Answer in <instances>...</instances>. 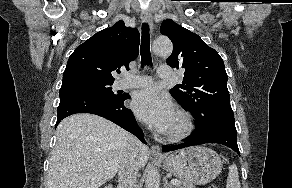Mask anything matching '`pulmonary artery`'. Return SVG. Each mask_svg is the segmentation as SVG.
Wrapping results in <instances>:
<instances>
[{
  "mask_svg": "<svg viewBox=\"0 0 292 188\" xmlns=\"http://www.w3.org/2000/svg\"><path fill=\"white\" fill-rule=\"evenodd\" d=\"M158 77L170 79L173 77L172 69L168 66H160L157 71ZM153 82L152 77L146 75L126 74L119 82L120 89L141 88L150 86Z\"/></svg>",
  "mask_w": 292,
  "mask_h": 188,
  "instance_id": "e3ab8cb5",
  "label": "pulmonary artery"
}]
</instances>
